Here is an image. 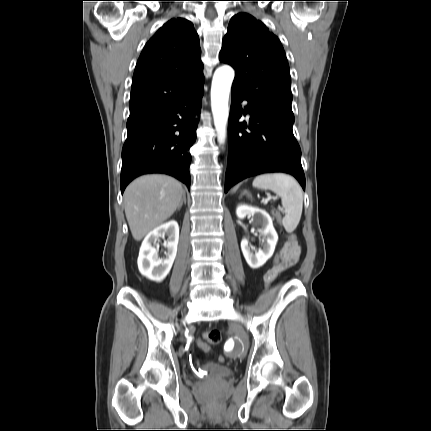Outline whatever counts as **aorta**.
Returning a JSON list of instances; mask_svg holds the SVG:
<instances>
[{"label":"aorta","instance_id":"aorta-1","mask_svg":"<svg viewBox=\"0 0 431 431\" xmlns=\"http://www.w3.org/2000/svg\"><path fill=\"white\" fill-rule=\"evenodd\" d=\"M234 75V70L230 66L225 65L216 69L212 80L211 107L220 143H223L225 140L226 123L229 113L228 99Z\"/></svg>","mask_w":431,"mask_h":431}]
</instances>
